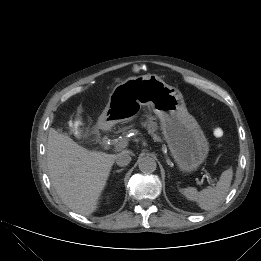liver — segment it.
Segmentation results:
<instances>
[{
    "mask_svg": "<svg viewBox=\"0 0 261 261\" xmlns=\"http://www.w3.org/2000/svg\"><path fill=\"white\" fill-rule=\"evenodd\" d=\"M46 149L51 184L62 202L82 215L95 212L116 155L90 151L53 128Z\"/></svg>",
    "mask_w": 261,
    "mask_h": 261,
    "instance_id": "6515ba94",
    "label": "liver"
}]
</instances>
